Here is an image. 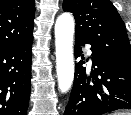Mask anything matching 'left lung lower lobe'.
<instances>
[{"instance_id":"0a47b994","label":"left lung lower lobe","mask_w":131,"mask_h":115,"mask_svg":"<svg viewBox=\"0 0 131 115\" xmlns=\"http://www.w3.org/2000/svg\"><path fill=\"white\" fill-rule=\"evenodd\" d=\"M86 39L76 36L75 58ZM92 69L86 76L83 62L75 65L74 85L64 115H102L117 109H131V69L106 58L91 45Z\"/></svg>"}]
</instances>
